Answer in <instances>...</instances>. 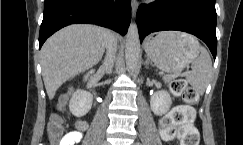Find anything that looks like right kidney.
Returning a JSON list of instances; mask_svg holds the SVG:
<instances>
[{"label":"right kidney","instance_id":"obj_1","mask_svg":"<svg viewBox=\"0 0 243 145\" xmlns=\"http://www.w3.org/2000/svg\"><path fill=\"white\" fill-rule=\"evenodd\" d=\"M92 106V95L78 89L69 102V109L76 117H82L88 113Z\"/></svg>","mask_w":243,"mask_h":145}]
</instances>
